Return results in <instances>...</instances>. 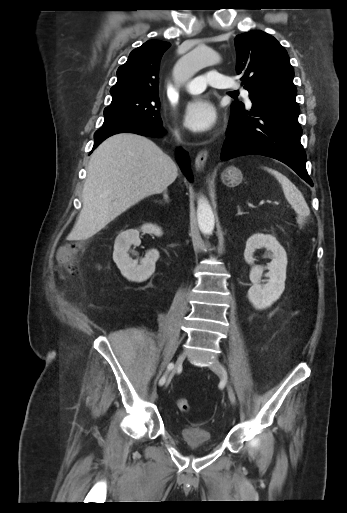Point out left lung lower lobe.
<instances>
[{"label": "left lung lower lobe", "instance_id": "left-lung-lower-lobe-1", "mask_svg": "<svg viewBox=\"0 0 347 513\" xmlns=\"http://www.w3.org/2000/svg\"><path fill=\"white\" fill-rule=\"evenodd\" d=\"M252 109L232 105L223 161L242 155H264L291 167L313 186L306 170V154L300 143L299 106L295 99H253Z\"/></svg>", "mask_w": 347, "mask_h": 513}]
</instances>
